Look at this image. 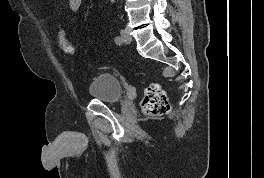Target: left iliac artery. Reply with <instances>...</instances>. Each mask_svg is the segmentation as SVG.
<instances>
[{
	"label": "left iliac artery",
	"instance_id": "1",
	"mask_svg": "<svg viewBox=\"0 0 264 178\" xmlns=\"http://www.w3.org/2000/svg\"><path fill=\"white\" fill-rule=\"evenodd\" d=\"M115 43L120 45L122 43V38L120 36L115 37Z\"/></svg>",
	"mask_w": 264,
	"mask_h": 178
}]
</instances>
